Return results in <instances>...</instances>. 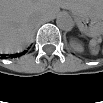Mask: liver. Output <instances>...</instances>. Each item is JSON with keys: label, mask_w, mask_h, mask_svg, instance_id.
<instances>
[{"label": "liver", "mask_w": 103, "mask_h": 103, "mask_svg": "<svg viewBox=\"0 0 103 103\" xmlns=\"http://www.w3.org/2000/svg\"><path fill=\"white\" fill-rule=\"evenodd\" d=\"M73 3L72 0H2L1 52L15 53L26 48L32 40L33 26L37 20H51L60 8L72 10Z\"/></svg>", "instance_id": "obj_1"}]
</instances>
